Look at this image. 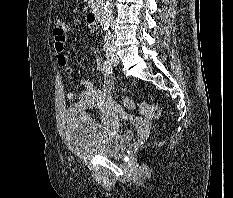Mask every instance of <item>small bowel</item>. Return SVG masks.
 I'll return each mask as SVG.
<instances>
[{"instance_id":"c3829d8e","label":"small bowel","mask_w":233,"mask_h":198,"mask_svg":"<svg viewBox=\"0 0 233 198\" xmlns=\"http://www.w3.org/2000/svg\"><path fill=\"white\" fill-rule=\"evenodd\" d=\"M66 36H54L55 59L58 66L64 69L68 75H72L74 70L67 55L64 53ZM96 69L103 75L102 89H98L91 81L81 79L80 84L83 89L78 95L77 101H74L75 95L72 92L66 94L68 101H74L70 110L83 112L92 107L106 108L112 104L111 89L113 78L105 71L104 63L100 58L95 59Z\"/></svg>"}]
</instances>
